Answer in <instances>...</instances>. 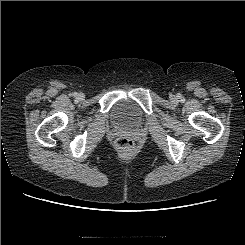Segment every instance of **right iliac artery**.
Wrapping results in <instances>:
<instances>
[{"label":"right iliac artery","instance_id":"1","mask_svg":"<svg viewBox=\"0 0 245 245\" xmlns=\"http://www.w3.org/2000/svg\"><path fill=\"white\" fill-rule=\"evenodd\" d=\"M73 95L75 96V95H77V93H74Z\"/></svg>","mask_w":245,"mask_h":245}]
</instances>
